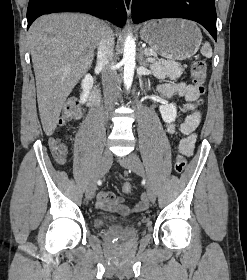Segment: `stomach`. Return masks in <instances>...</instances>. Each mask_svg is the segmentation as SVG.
I'll use <instances>...</instances> for the list:
<instances>
[{
	"mask_svg": "<svg viewBox=\"0 0 247 280\" xmlns=\"http://www.w3.org/2000/svg\"><path fill=\"white\" fill-rule=\"evenodd\" d=\"M140 35L158 55L169 60L191 58L202 42L201 31L194 22L177 18L149 21Z\"/></svg>",
	"mask_w": 247,
	"mask_h": 280,
	"instance_id": "1",
	"label": "stomach"
}]
</instances>
